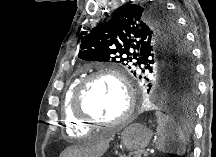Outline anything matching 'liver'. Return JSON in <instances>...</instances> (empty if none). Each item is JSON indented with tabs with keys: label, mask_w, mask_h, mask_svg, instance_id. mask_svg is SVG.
<instances>
[{
	"label": "liver",
	"mask_w": 216,
	"mask_h": 157,
	"mask_svg": "<svg viewBox=\"0 0 216 157\" xmlns=\"http://www.w3.org/2000/svg\"><path fill=\"white\" fill-rule=\"evenodd\" d=\"M108 148V142L104 137L91 140L83 146H73L66 149L61 157H100Z\"/></svg>",
	"instance_id": "6515ba94"
}]
</instances>
